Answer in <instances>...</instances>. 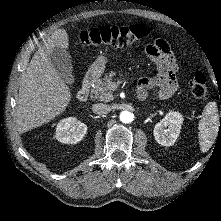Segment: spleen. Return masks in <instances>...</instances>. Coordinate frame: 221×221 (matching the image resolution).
Returning a JSON list of instances; mask_svg holds the SVG:
<instances>
[{
  "label": "spleen",
  "mask_w": 221,
  "mask_h": 221,
  "mask_svg": "<svg viewBox=\"0 0 221 221\" xmlns=\"http://www.w3.org/2000/svg\"><path fill=\"white\" fill-rule=\"evenodd\" d=\"M199 144L202 152H207L213 145L219 130V114L215 102H209L198 123Z\"/></svg>",
  "instance_id": "obj_1"
}]
</instances>
